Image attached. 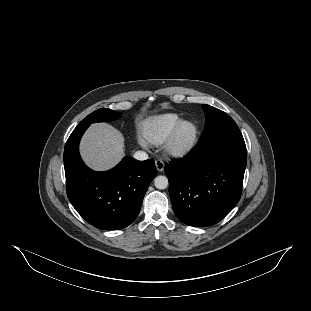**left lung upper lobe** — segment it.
Instances as JSON below:
<instances>
[{
  "instance_id": "left-lung-upper-lobe-1",
  "label": "left lung upper lobe",
  "mask_w": 311,
  "mask_h": 311,
  "mask_svg": "<svg viewBox=\"0 0 311 311\" xmlns=\"http://www.w3.org/2000/svg\"><path fill=\"white\" fill-rule=\"evenodd\" d=\"M203 110L205 112L206 122L200 140L219 132L239 130L236 123L225 112L205 104L203 105Z\"/></svg>"
}]
</instances>
